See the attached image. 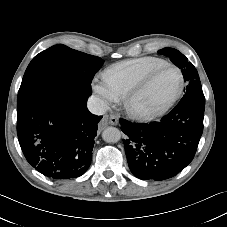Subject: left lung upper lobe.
I'll list each match as a JSON object with an SVG mask.
<instances>
[{
  "label": "left lung upper lobe",
  "mask_w": 227,
  "mask_h": 227,
  "mask_svg": "<svg viewBox=\"0 0 227 227\" xmlns=\"http://www.w3.org/2000/svg\"><path fill=\"white\" fill-rule=\"evenodd\" d=\"M158 52L168 56L170 60L181 69L184 80L188 83L186 93L178 104L187 102L205 104V97L202 91L201 82L194 65L176 49L164 48Z\"/></svg>",
  "instance_id": "left-lung-upper-lobe-1"
}]
</instances>
